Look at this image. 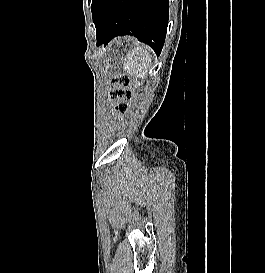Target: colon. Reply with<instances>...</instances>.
<instances>
[{
  "label": "colon",
  "mask_w": 265,
  "mask_h": 273,
  "mask_svg": "<svg viewBox=\"0 0 265 273\" xmlns=\"http://www.w3.org/2000/svg\"><path fill=\"white\" fill-rule=\"evenodd\" d=\"M112 82L117 85V88L111 91L110 97L113 101L114 111L117 113H125L127 111L126 100L129 98L130 93L127 89L130 78L125 75L116 76L112 79Z\"/></svg>",
  "instance_id": "colon-1"
}]
</instances>
